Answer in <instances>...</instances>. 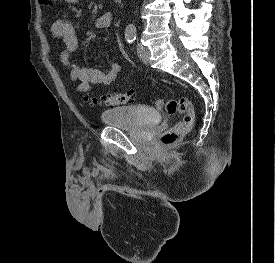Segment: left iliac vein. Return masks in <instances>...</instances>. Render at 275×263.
I'll list each match as a JSON object with an SVG mask.
<instances>
[{"label": "left iliac vein", "mask_w": 275, "mask_h": 263, "mask_svg": "<svg viewBox=\"0 0 275 263\" xmlns=\"http://www.w3.org/2000/svg\"><path fill=\"white\" fill-rule=\"evenodd\" d=\"M137 53H138V56H139L140 60L145 65H147L149 63V56H150L149 50L144 45L139 43L137 45Z\"/></svg>", "instance_id": "left-iliac-vein-1"}]
</instances>
